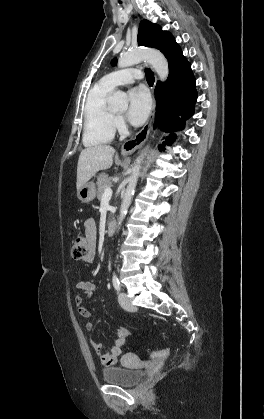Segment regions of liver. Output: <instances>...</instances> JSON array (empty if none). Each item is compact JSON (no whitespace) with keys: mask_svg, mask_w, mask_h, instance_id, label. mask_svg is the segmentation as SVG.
<instances>
[{"mask_svg":"<svg viewBox=\"0 0 264 419\" xmlns=\"http://www.w3.org/2000/svg\"><path fill=\"white\" fill-rule=\"evenodd\" d=\"M114 153L115 149L109 145L91 146L82 150L77 164V190L98 171L110 168L113 164Z\"/></svg>","mask_w":264,"mask_h":419,"instance_id":"liver-1","label":"liver"}]
</instances>
